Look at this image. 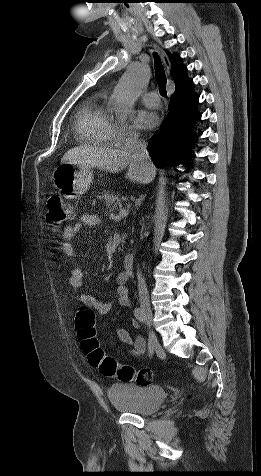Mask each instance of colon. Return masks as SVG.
Segmentation results:
<instances>
[{"label": "colon", "mask_w": 261, "mask_h": 476, "mask_svg": "<svg viewBox=\"0 0 261 476\" xmlns=\"http://www.w3.org/2000/svg\"><path fill=\"white\" fill-rule=\"evenodd\" d=\"M46 217L52 227L59 228L72 219L73 210L60 196L52 195L46 202ZM95 319V311L89 306L80 307L75 319L78 338L89 363L98 368L104 376L116 377L122 382L135 381L140 385L150 384L153 379L150 369L136 370L131 365L120 364L104 352L96 338Z\"/></svg>", "instance_id": "5ec220e1"}]
</instances>
